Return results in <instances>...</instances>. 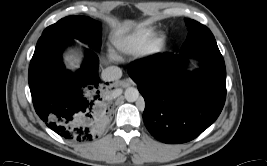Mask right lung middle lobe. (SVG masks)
<instances>
[{
	"instance_id": "dd1d6c3e",
	"label": "right lung middle lobe",
	"mask_w": 267,
	"mask_h": 166,
	"mask_svg": "<svg viewBox=\"0 0 267 166\" xmlns=\"http://www.w3.org/2000/svg\"><path fill=\"white\" fill-rule=\"evenodd\" d=\"M45 33H59L87 43L95 50L101 48V23L86 16H68L47 27Z\"/></svg>"
}]
</instances>
